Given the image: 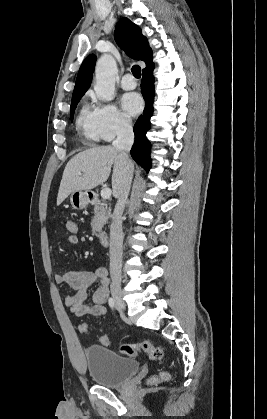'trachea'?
<instances>
[{"label": "trachea", "mask_w": 267, "mask_h": 419, "mask_svg": "<svg viewBox=\"0 0 267 419\" xmlns=\"http://www.w3.org/2000/svg\"><path fill=\"white\" fill-rule=\"evenodd\" d=\"M132 73L136 78H140L141 77V69L140 66L138 65H134L132 67Z\"/></svg>", "instance_id": "trachea-1"}]
</instances>
